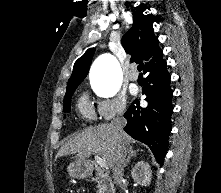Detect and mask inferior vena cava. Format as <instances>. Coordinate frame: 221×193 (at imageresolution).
I'll list each match as a JSON object with an SVG mask.
<instances>
[{"label":"inferior vena cava","instance_id":"602c4592","mask_svg":"<svg viewBox=\"0 0 221 193\" xmlns=\"http://www.w3.org/2000/svg\"><path fill=\"white\" fill-rule=\"evenodd\" d=\"M112 127L118 136V145L115 151L112 164L113 180L116 185H120L123 177V170L127 155V147L121 142L120 137L123 133V127L126 125V120L120 116L111 122Z\"/></svg>","mask_w":221,"mask_h":193}]
</instances>
